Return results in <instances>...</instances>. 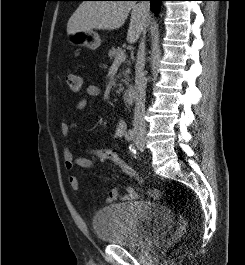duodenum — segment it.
<instances>
[{
	"mask_svg": "<svg viewBox=\"0 0 245 265\" xmlns=\"http://www.w3.org/2000/svg\"><path fill=\"white\" fill-rule=\"evenodd\" d=\"M136 89L131 87L127 89L123 94V100L126 105H132L135 101Z\"/></svg>",
	"mask_w": 245,
	"mask_h": 265,
	"instance_id": "410a0bca",
	"label": "duodenum"
}]
</instances>
